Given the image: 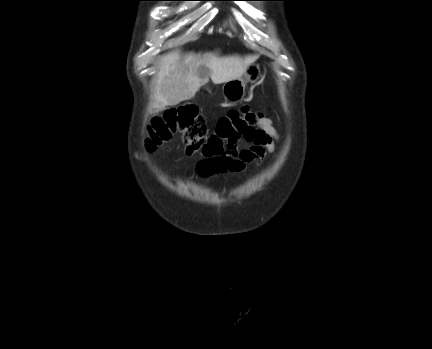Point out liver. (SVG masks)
I'll return each mask as SVG.
<instances>
[{"label": "liver", "instance_id": "1", "mask_svg": "<svg viewBox=\"0 0 432 349\" xmlns=\"http://www.w3.org/2000/svg\"><path fill=\"white\" fill-rule=\"evenodd\" d=\"M257 56H224L209 52L181 54L173 51L161 60L155 87V109L175 106L195 96L211 78L214 84L242 77Z\"/></svg>", "mask_w": 432, "mask_h": 349}]
</instances>
